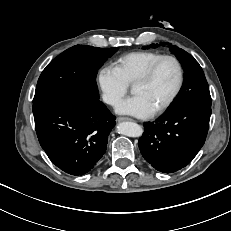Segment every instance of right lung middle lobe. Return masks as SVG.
I'll use <instances>...</instances> for the list:
<instances>
[{
    "instance_id": "right-lung-middle-lobe-1",
    "label": "right lung middle lobe",
    "mask_w": 231,
    "mask_h": 231,
    "mask_svg": "<svg viewBox=\"0 0 231 231\" xmlns=\"http://www.w3.org/2000/svg\"><path fill=\"white\" fill-rule=\"evenodd\" d=\"M118 47L76 45L53 59L41 73L33 103L59 96L99 99L95 81L98 69Z\"/></svg>"
}]
</instances>
